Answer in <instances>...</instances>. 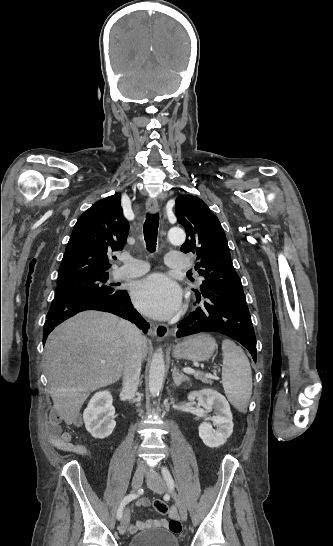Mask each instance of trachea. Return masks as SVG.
Returning a JSON list of instances; mask_svg holds the SVG:
<instances>
[{
  "instance_id": "obj_1",
  "label": "trachea",
  "mask_w": 333,
  "mask_h": 546,
  "mask_svg": "<svg viewBox=\"0 0 333 546\" xmlns=\"http://www.w3.org/2000/svg\"><path fill=\"white\" fill-rule=\"evenodd\" d=\"M158 226H159V214H147L143 232L144 239L146 242L147 250L154 252L157 244V235H158Z\"/></svg>"
}]
</instances>
